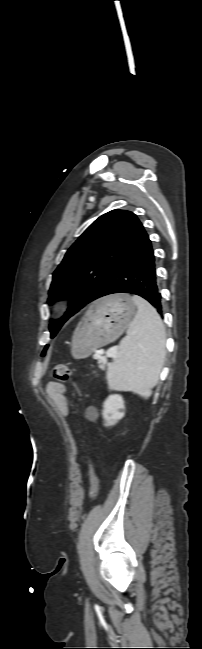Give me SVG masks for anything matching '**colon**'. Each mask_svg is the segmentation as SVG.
Wrapping results in <instances>:
<instances>
[{
  "mask_svg": "<svg viewBox=\"0 0 202 649\" xmlns=\"http://www.w3.org/2000/svg\"><path fill=\"white\" fill-rule=\"evenodd\" d=\"M71 374L72 372L68 365L59 363L52 368L50 376L55 381L66 382L71 378ZM98 488H99V479L95 470H93V475L90 481V487L88 493L89 500H93L96 497L98 493Z\"/></svg>",
  "mask_w": 202,
  "mask_h": 649,
  "instance_id": "1",
  "label": "colon"
}]
</instances>
